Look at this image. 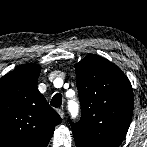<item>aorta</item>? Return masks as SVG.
Returning <instances> with one entry per match:
<instances>
[{"label": "aorta", "instance_id": "obj_1", "mask_svg": "<svg viewBox=\"0 0 147 147\" xmlns=\"http://www.w3.org/2000/svg\"><path fill=\"white\" fill-rule=\"evenodd\" d=\"M69 110L71 111L72 114H77L78 111V105L75 102H70L69 103Z\"/></svg>", "mask_w": 147, "mask_h": 147}]
</instances>
